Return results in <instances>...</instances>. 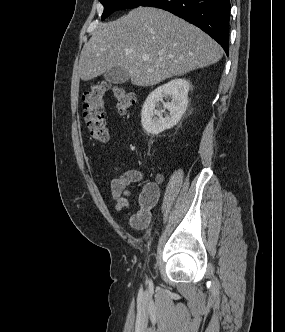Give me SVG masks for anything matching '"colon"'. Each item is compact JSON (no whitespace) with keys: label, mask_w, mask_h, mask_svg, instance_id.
Masks as SVG:
<instances>
[{"label":"colon","mask_w":285,"mask_h":332,"mask_svg":"<svg viewBox=\"0 0 285 332\" xmlns=\"http://www.w3.org/2000/svg\"><path fill=\"white\" fill-rule=\"evenodd\" d=\"M108 92H112L117 110L126 113L135 104V95L128 89L107 82L93 83L83 95V115L91 137L107 144L110 132L104 114V102Z\"/></svg>","instance_id":"1"}]
</instances>
